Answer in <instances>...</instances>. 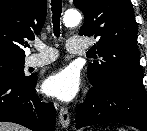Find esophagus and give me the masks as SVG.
<instances>
[{"mask_svg":"<svg viewBox=\"0 0 147 131\" xmlns=\"http://www.w3.org/2000/svg\"><path fill=\"white\" fill-rule=\"evenodd\" d=\"M59 122L62 128L66 129L68 128L70 124V116H69V111L65 107L60 108L59 112Z\"/></svg>","mask_w":147,"mask_h":131,"instance_id":"obj_1","label":"esophagus"}]
</instances>
